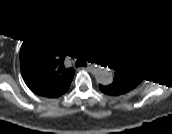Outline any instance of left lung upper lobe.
Returning a JSON list of instances; mask_svg holds the SVG:
<instances>
[{
	"instance_id": "1",
	"label": "left lung upper lobe",
	"mask_w": 172,
	"mask_h": 134,
	"mask_svg": "<svg viewBox=\"0 0 172 134\" xmlns=\"http://www.w3.org/2000/svg\"><path fill=\"white\" fill-rule=\"evenodd\" d=\"M108 62L114 70L113 82L108 86L99 85V88L109 95L129 92L147 74V62L143 53L124 39H118L110 45Z\"/></svg>"
}]
</instances>
